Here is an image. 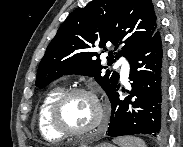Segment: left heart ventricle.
<instances>
[{
  "instance_id": "left-heart-ventricle-1",
  "label": "left heart ventricle",
  "mask_w": 183,
  "mask_h": 147,
  "mask_svg": "<svg viewBox=\"0 0 183 147\" xmlns=\"http://www.w3.org/2000/svg\"><path fill=\"white\" fill-rule=\"evenodd\" d=\"M66 125L75 130L89 127L96 118L93 101L85 95H76L69 99L62 112Z\"/></svg>"
}]
</instances>
